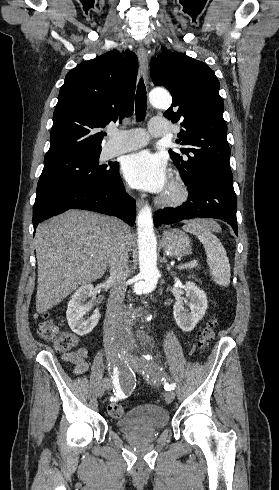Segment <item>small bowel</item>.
Segmentation results:
<instances>
[{
	"mask_svg": "<svg viewBox=\"0 0 279 490\" xmlns=\"http://www.w3.org/2000/svg\"><path fill=\"white\" fill-rule=\"evenodd\" d=\"M88 351L85 348H79L72 352H67L62 355V359L66 362L73 364L75 374H83L89 368Z\"/></svg>",
	"mask_w": 279,
	"mask_h": 490,
	"instance_id": "small-bowel-1",
	"label": "small bowel"
}]
</instances>
